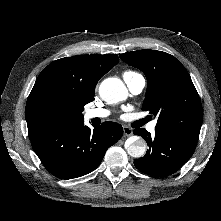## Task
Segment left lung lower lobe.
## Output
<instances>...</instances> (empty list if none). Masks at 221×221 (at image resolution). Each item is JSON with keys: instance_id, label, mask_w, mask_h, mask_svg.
<instances>
[{"instance_id": "obj_1", "label": "left lung lower lobe", "mask_w": 221, "mask_h": 221, "mask_svg": "<svg viewBox=\"0 0 221 221\" xmlns=\"http://www.w3.org/2000/svg\"><path fill=\"white\" fill-rule=\"evenodd\" d=\"M147 142L149 149L144 157L134 161L141 172L153 176H167L178 171L193 155L197 142L179 138L155 129L154 137L144 128L135 129Z\"/></svg>"}]
</instances>
